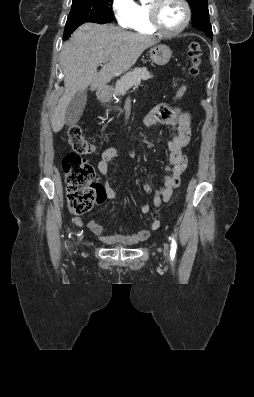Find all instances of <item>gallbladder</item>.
<instances>
[{"instance_id":"1","label":"gallbladder","mask_w":254,"mask_h":397,"mask_svg":"<svg viewBox=\"0 0 254 397\" xmlns=\"http://www.w3.org/2000/svg\"><path fill=\"white\" fill-rule=\"evenodd\" d=\"M87 101V92H78L71 102L69 103L66 114H65V124L67 126L74 125L81 117L83 110L85 108Z\"/></svg>"}]
</instances>
